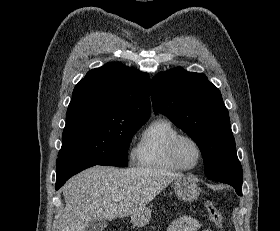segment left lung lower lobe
<instances>
[{
	"label": "left lung lower lobe",
	"mask_w": 280,
	"mask_h": 231,
	"mask_svg": "<svg viewBox=\"0 0 280 231\" xmlns=\"http://www.w3.org/2000/svg\"><path fill=\"white\" fill-rule=\"evenodd\" d=\"M207 178L213 181L227 183L234 187L238 195H242L243 171L239 161L207 176Z\"/></svg>",
	"instance_id": "1"
}]
</instances>
